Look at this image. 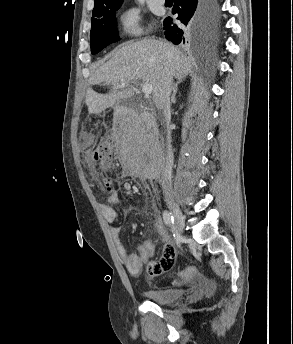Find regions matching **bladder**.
<instances>
[{"instance_id":"1","label":"bladder","mask_w":293,"mask_h":344,"mask_svg":"<svg viewBox=\"0 0 293 344\" xmlns=\"http://www.w3.org/2000/svg\"><path fill=\"white\" fill-rule=\"evenodd\" d=\"M146 297L158 304H169L178 301L183 296V292L176 288L162 287L145 291Z\"/></svg>"}]
</instances>
